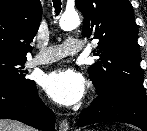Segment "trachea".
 I'll list each match as a JSON object with an SVG mask.
<instances>
[{"mask_svg":"<svg viewBox=\"0 0 147 131\" xmlns=\"http://www.w3.org/2000/svg\"><path fill=\"white\" fill-rule=\"evenodd\" d=\"M55 8V13L59 14L61 11V0H52Z\"/></svg>","mask_w":147,"mask_h":131,"instance_id":"obj_1","label":"trachea"}]
</instances>
